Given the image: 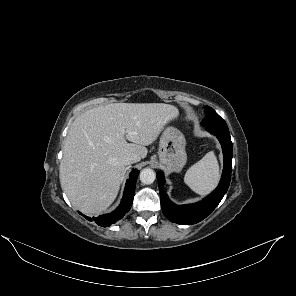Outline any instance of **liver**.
<instances>
[{"label":"liver","instance_id":"1","mask_svg":"<svg viewBox=\"0 0 296 296\" xmlns=\"http://www.w3.org/2000/svg\"><path fill=\"white\" fill-rule=\"evenodd\" d=\"M177 117L178 109L164 103H113L79 115L60 163L61 187L72 205L89 215L106 210L119 192L124 156L145 158V146Z\"/></svg>","mask_w":296,"mask_h":296}]
</instances>
